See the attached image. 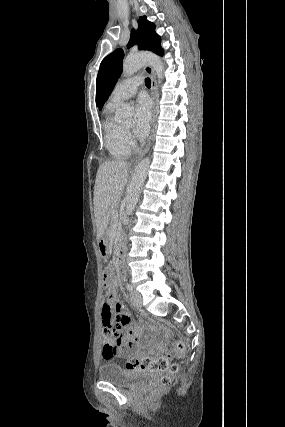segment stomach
<instances>
[{
    "instance_id": "stomach-1",
    "label": "stomach",
    "mask_w": 285,
    "mask_h": 427,
    "mask_svg": "<svg viewBox=\"0 0 285 427\" xmlns=\"http://www.w3.org/2000/svg\"><path fill=\"white\" fill-rule=\"evenodd\" d=\"M98 250L103 257H107L111 251V246L107 235H102L98 240Z\"/></svg>"
}]
</instances>
